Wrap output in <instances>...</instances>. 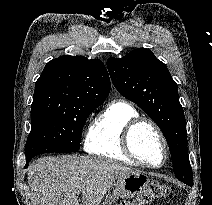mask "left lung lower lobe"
<instances>
[{
	"label": "left lung lower lobe",
	"instance_id": "0a47b994",
	"mask_svg": "<svg viewBox=\"0 0 212 205\" xmlns=\"http://www.w3.org/2000/svg\"><path fill=\"white\" fill-rule=\"evenodd\" d=\"M185 184H186V183H185ZM187 185L192 186L193 184H187Z\"/></svg>",
	"mask_w": 212,
	"mask_h": 205
}]
</instances>
